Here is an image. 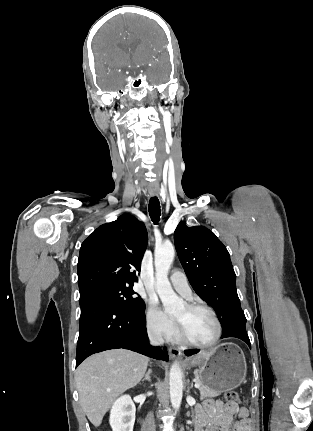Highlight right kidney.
<instances>
[{"instance_id":"obj_1","label":"right kidney","mask_w":313,"mask_h":431,"mask_svg":"<svg viewBox=\"0 0 313 431\" xmlns=\"http://www.w3.org/2000/svg\"><path fill=\"white\" fill-rule=\"evenodd\" d=\"M135 412V405L129 395L118 398L110 411L109 422L112 431H133Z\"/></svg>"}]
</instances>
